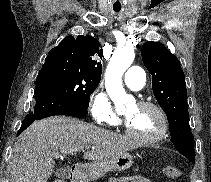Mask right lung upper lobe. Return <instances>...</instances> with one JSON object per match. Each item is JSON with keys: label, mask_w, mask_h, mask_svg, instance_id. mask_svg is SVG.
<instances>
[{"label": "right lung upper lobe", "mask_w": 211, "mask_h": 182, "mask_svg": "<svg viewBox=\"0 0 211 182\" xmlns=\"http://www.w3.org/2000/svg\"><path fill=\"white\" fill-rule=\"evenodd\" d=\"M101 44L92 36L79 35L65 37L60 44L50 50L42 67L58 65L64 69L74 71L85 78L100 81L102 65Z\"/></svg>", "instance_id": "obj_1"}]
</instances>
